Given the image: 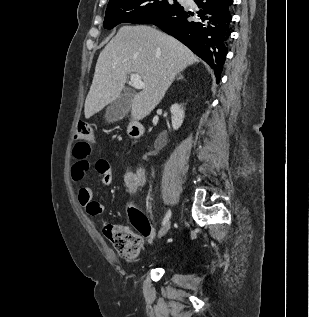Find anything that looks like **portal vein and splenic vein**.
I'll list each match as a JSON object with an SVG mask.
<instances>
[{"instance_id":"portal-vein-and-splenic-vein-1","label":"portal vein and splenic vein","mask_w":309,"mask_h":317,"mask_svg":"<svg viewBox=\"0 0 309 317\" xmlns=\"http://www.w3.org/2000/svg\"><path fill=\"white\" fill-rule=\"evenodd\" d=\"M130 80L135 89H143L145 87V84L142 81L141 76L138 74H135V73L131 74Z\"/></svg>"}]
</instances>
